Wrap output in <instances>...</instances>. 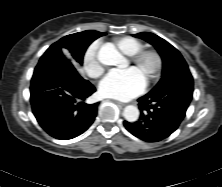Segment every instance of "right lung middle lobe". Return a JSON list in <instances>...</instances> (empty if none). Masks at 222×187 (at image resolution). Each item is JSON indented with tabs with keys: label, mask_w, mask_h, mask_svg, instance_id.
Instances as JSON below:
<instances>
[{
	"label": "right lung middle lobe",
	"mask_w": 222,
	"mask_h": 187,
	"mask_svg": "<svg viewBox=\"0 0 222 187\" xmlns=\"http://www.w3.org/2000/svg\"><path fill=\"white\" fill-rule=\"evenodd\" d=\"M103 35L105 33L93 35L86 31L71 34L54 43L45 53L49 55H63L64 53L68 56L69 61H72L74 64H82L84 53L89 44Z\"/></svg>",
	"instance_id": "right-lung-middle-lobe-1"
}]
</instances>
